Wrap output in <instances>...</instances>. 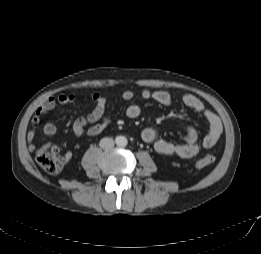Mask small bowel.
I'll use <instances>...</instances> for the list:
<instances>
[{
  "label": "small bowel",
  "instance_id": "c3829d8e",
  "mask_svg": "<svg viewBox=\"0 0 261 254\" xmlns=\"http://www.w3.org/2000/svg\"><path fill=\"white\" fill-rule=\"evenodd\" d=\"M135 94L131 90L122 93L123 101H132ZM140 98L144 101H155L163 106H171L172 97L169 93L161 90L151 91L143 89L140 92ZM74 94H61L57 97H48L38 106L31 120V126L27 133L28 148L35 149L34 137L37 128L41 125L42 117L50 113L57 105H67L76 101ZM94 102V108L87 115L78 117L73 125L72 130L76 137L96 136L100 134L109 122L105 116L107 98L101 93L95 92L91 95ZM181 101L184 106L191 109L205 121L207 133L201 141L198 139L197 130L192 125H186V135L183 142H173L168 139L159 138L158 130L154 127H146L141 132V139L145 143L153 144L157 153L165 156H179L181 158H193L200 153L202 149H209L216 145L222 134V123L220 119L194 95L186 93L182 96ZM141 114V107L138 104H130L126 109V115L129 118H137ZM101 121V122H100ZM43 131L46 135L52 136L57 132V126L54 121L48 120L43 125ZM71 155L66 154V161H69Z\"/></svg>",
  "mask_w": 261,
  "mask_h": 254
}]
</instances>
